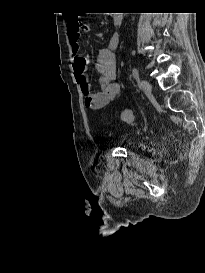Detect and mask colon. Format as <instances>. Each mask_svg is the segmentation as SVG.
I'll list each match as a JSON object with an SVG mask.
<instances>
[{
	"instance_id": "1",
	"label": "colon",
	"mask_w": 205,
	"mask_h": 273,
	"mask_svg": "<svg viewBox=\"0 0 205 273\" xmlns=\"http://www.w3.org/2000/svg\"><path fill=\"white\" fill-rule=\"evenodd\" d=\"M82 23H76L74 24V27L76 28H81L82 27ZM121 118L125 123H131L133 120V112L130 109H124L121 113Z\"/></svg>"
}]
</instances>
